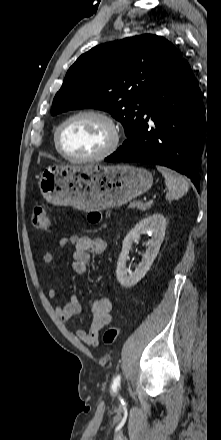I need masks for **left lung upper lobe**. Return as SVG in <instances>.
<instances>
[{
  "label": "left lung upper lobe",
  "mask_w": 221,
  "mask_h": 440,
  "mask_svg": "<svg viewBox=\"0 0 221 440\" xmlns=\"http://www.w3.org/2000/svg\"><path fill=\"white\" fill-rule=\"evenodd\" d=\"M181 57L163 37L139 35L98 45L69 68L51 114L98 108L119 120L131 138L144 109Z\"/></svg>",
  "instance_id": "1"
}]
</instances>
